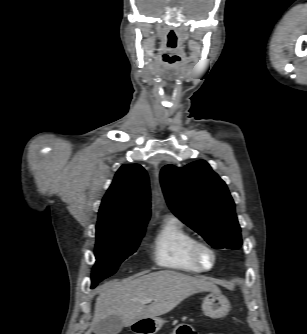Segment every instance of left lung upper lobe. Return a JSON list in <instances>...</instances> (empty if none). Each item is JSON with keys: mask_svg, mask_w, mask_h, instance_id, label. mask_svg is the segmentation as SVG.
I'll use <instances>...</instances> for the list:
<instances>
[{"mask_svg": "<svg viewBox=\"0 0 307 334\" xmlns=\"http://www.w3.org/2000/svg\"><path fill=\"white\" fill-rule=\"evenodd\" d=\"M169 208L216 249L242 244L235 204L225 182L204 160L183 168L166 165L160 173Z\"/></svg>", "mask_w": 307, "mask_h": 334, "instance_id": "obj_1", "label": "left lung upper lobe"}]
</instances>
